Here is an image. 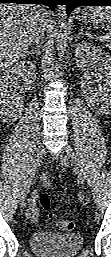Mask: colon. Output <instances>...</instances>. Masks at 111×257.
<instances>
[{
    "mask_svg": "<svg viewBox=\"0 0 111 257\" xmlns=\"http://www.w3.org/2000/svg\"><path fill=\"white\" fill-rule=\"evenodd\" d=\"M39 204L44 209L49 213V217L55 220L57 226L59 229L65 232H70L74 229V223L70 220L66 219H57L56 216L51 212V202H50V197L46 193H42L39 196Z\"/></svg>",
    "mask_w": 111,
    "mask_h": 257,
    "instance_id": "colon-1",
    "label": "colon"
}]
</instances>
